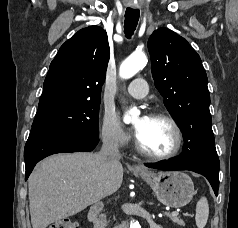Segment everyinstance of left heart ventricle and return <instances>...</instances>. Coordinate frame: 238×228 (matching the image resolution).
<instances>
[{"instance_id":"obj_1","label":"left heart ventricle","mask_w":238,"mask_h":228,"mask_svg":"<svg viewBox=\"0 0 238 228\" xmlns=\"http://www.w3.org/2000/svg\"><path fill=\"white\" fill-rule=\"evenodd\" d=\"M139 124L140 119L136 121L135 126ZM137 138L145 150L158 154L170 151L175 143V134L171 125L166 120L150 117L141 127Z\"/></svg>"}]
</instances>
